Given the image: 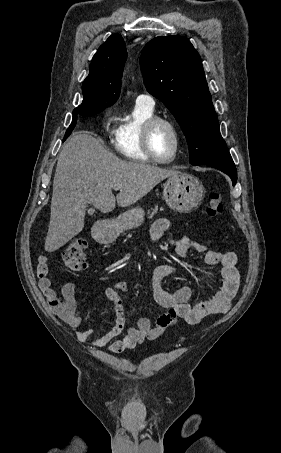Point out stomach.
Here are the masks:
<instances>
[{
    "mask_svg": "<svg viewBox=\"0 0 281 453\" xmlns=\"http://www.w3.org/2000/svg\"><path fill=\"white\" fill-rule=\"evenodd\" d=\"M163 196L169 208L177 212H191L197 208L205 196L204 186L199 178L188 174V172H179L175 176H169L164 182ZM144 220V210L140 206L125 210L119 214L118 218L113 220H103L101 227L96 229L95 233L101 243H112L123 231L137 229Z\"/></svg>",
    "mask_w": 281,
    "mask_h": 453,
    "instance_id": "stomach-1",
    "label": "stomach"
}]
</instances>
